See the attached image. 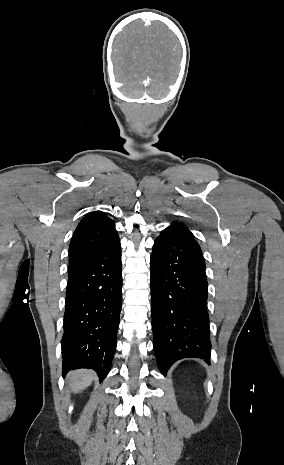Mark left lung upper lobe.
I'll return each mask as SVG.
<instances>
[{
  "mask_svg": "<svg viewBox=\"0 0 284 465\" xmlns=\"http://www.w3.org/2000/svg\"><path fill=\"white\" fill-rule=\"evenodd\" d=\"M169 227H171V228H176V229H178V230L184 231V232L188 233L190 236L193 237L192 233H191L185 226H183V225L180 224V223H173V224H172L171 226H169Z\"/></svg>",
  "mask_w": 284,
  "mask_h": 465,
  "instance_id": "5c2ea615",
  "label": "left lung upper lobe"
}]
</instances>
